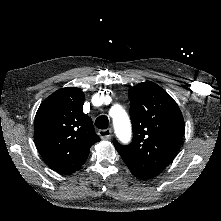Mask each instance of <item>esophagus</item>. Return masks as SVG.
Masks as SVG:
<instances>
[{"label": "esophagus", "instance_id": "34e87169", "mask_svg": "<svg viewBox=\"0 0 221 221\" xmlns=\"http://www.w3.org/2000/svg\"><path fill=\"white\" fill-rule=\"evenodd\" d=\"M111 133H112L111 128H107V129L98 131V135L101 137L102 140H110L111 139Z\"/></svg>", "mask_w": 221, "mask_h": 221}]
</instances>
